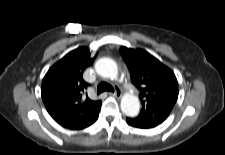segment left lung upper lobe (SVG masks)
Returning a JSON list of instances; mask_svg holds the SVG:
<instances>
[{
    "label": "left lung upper lobe",
    "mask_w": 225,
    "mask_h": 155,
    "mask_svg": "<svg viewBox=\"0 0 225 155\" xmlns=\"http://www.w3.org/2000/svg\"><path fill=\"white\" fill-rule=\"evenodd\" d=\"M120 53L129 68L131 81L141 92L142 109L133 119L138 125L161 124L178 98L174 73L145 50L121 47Z\"/></svg>",
    "instance_id": "5c2ea615"
}]
</instances>
